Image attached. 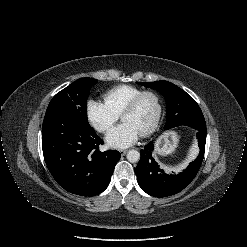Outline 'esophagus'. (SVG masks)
Returning a JSON list of instances; mask_svg holds the SVG:
<instances>
[{
	"label": "esophagus",
	"instance_id": "34e87169",
	"mask_svg": "<svg viewBox=\"0 0 247 247\" xmlns=\"http://www.w3.org/2000/svg\"><path fill=\"white\" fill-rule=\"evenodd\" d=\"M119 152L123 156V155H125L127 153V150H120Z\"/></svg>",
	"mask_w": 247,
	"mask_h": 247
}]
</instances>
